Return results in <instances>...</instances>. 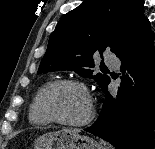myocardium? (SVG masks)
I'll use <instances>...</instances> for the list:
<instances>
[{
    "label": "myocardium",
    "mask_w": 155,
    "mask_h": 149,
    "mask_svg": "<svg viewBox=\"0 0 155 149\" xmlns=\"http://www.w3.org/2000/svg\"><path fill=\"white\" fill-rule=\"evenodd\" d=\"M59 85H73V86L80 88L81 91L84 93L87 103H88V112L83 119H81L79 121L63 120V119L56 117L48 109L47 104H46L47 94L53 87L59 86ZM38 107H39L41 114L47 120H49L52 123H56V124L64 125V126H72V127L84 126V125L90 123L93 120L94 115H95V106H94V103H93V100H92V97L90 95V91H89L87 85L83 81H81L79 79H74V78H60V79H56V80H53V81L47 83L43 87V89L40 93Z\"/></svg>",
    "instance_id": "1"
}]
</instances>
